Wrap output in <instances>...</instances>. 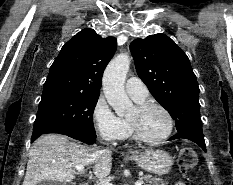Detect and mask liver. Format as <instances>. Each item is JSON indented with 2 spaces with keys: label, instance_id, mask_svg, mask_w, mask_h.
I'll use <instances>...</instances> for the list:
<instances>
[{
  "label": "liver",
  "instance_id": "1",
  "mask_svg": "<svg viewBox=\"0 0 233 185\" xmlns=\"http://www.w3.org/2000/svg\"><path fill=\"white\" fill-rule=\"evenodd\" d=\"M109 149L81 145L60 134L40 136L29 151L22 185H37L42 180L66 183L74 179L77 165L93 164L97 178H106L112 168Z\"/></svg>",
  "mask_w": 233,
  "mask_h": 185
}]
</instances>
